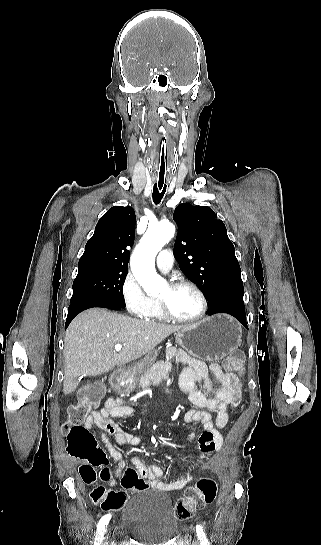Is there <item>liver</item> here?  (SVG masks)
<instances>
[{
    "mask_svg": "<svg viewBox=\"0 0 321 545\" xmlns=\"http://www.w3.org/2000/svg\"><path fill=\"white\" fill-rule=\"evenodd\" d=\"M183 325H163L132 319L106 309H88L73 319L65 335L63 393L77 389L81 377H97L125 367L153 351ZM124 343L120 353L115 345Z\"/></svg>",
    "mask_w": 321,
    "mask_h": 545,
    "instance_id": "liver-1",
    "label": "liver"
}]
</instances>
